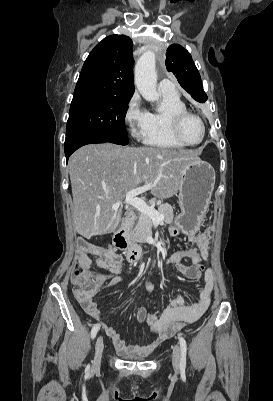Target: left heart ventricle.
<instances>
[{
	"label": "left heart ventricle",
	"mask_w": 273,
	"mask_h": 401,
	"mask_svg": "<svg viewBox=\"0 0 273 401\" xmlns=\"http://www.w3.org/2000/svg\"><path fill=\"white\" fill-rule=\"evenodd\" d=\"M180 133L187 142L196 143L203 138V127L197 117L190 116L183 121Z\"/></svg>",
	"instance_id": "b2bd125f"
}]
</instances>
